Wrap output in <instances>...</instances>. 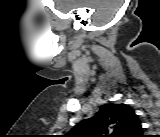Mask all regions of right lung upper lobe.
I'll return each mask as SVG.
<instances>
[{
  "mask_svg": "<svg viewBox=\"0 0 160 137\" xmlns=\"http://www.w3.org/2000/svg\"><path fill=\"white\" fill-rule=\"evenodd\" d=\"M77 137H139L141 122L126 104L108 103L91 119L82 120L71 131Z\"/></svg>",
  "mask_w": 160,
  "mask_h": 137,
  "instance_id": "cb5924a9",
  "label": "right lung upper lobe"
}]
</instances>
